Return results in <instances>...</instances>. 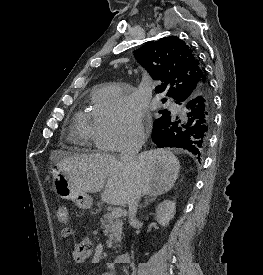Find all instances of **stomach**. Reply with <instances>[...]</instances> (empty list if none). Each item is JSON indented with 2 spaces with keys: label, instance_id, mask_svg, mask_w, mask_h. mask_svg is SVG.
Here are the masks:
<instances>
[{
  "label": "stomach",
  "instance_id": "obj_1",
  "mask_svg": "<svg viewBox=\"0 0 263 275\" xmlns=\"http://www.w3.org/2000/svg\"><path fill=\"white\" fill-rule=\"evenodd\" d=\"M52 189L58 197L71 200L81 209H90L92 198L84 191L78 190L68 177L60 170L52 169Z\"/></svg>",
  "mask_w": 263,
  "mask_h": 275
}]
</instances>
